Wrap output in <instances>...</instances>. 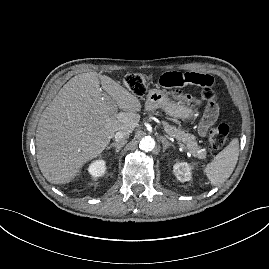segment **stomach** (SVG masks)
I'll use <instances>...</instances> for the list:
<instances>
[{
	"mask_svg": "<svg viewBox=\"0 0 269 269\" xmlns=\"http://www.w3.org/2000/svg\"><path fill=\"white\" fill-rule=\"evenodd\" d=\"M145 109L147 111L161 109L168 116L182 120H191L195 117V110L192 107L171 100L165 91L160 89L149 90Z\"/></svg>",
	"mask_w": 269,
	"mask_h": 269,
	"instance_id": "0dacf381",
	"label": "stomach"
}]
</instances>
